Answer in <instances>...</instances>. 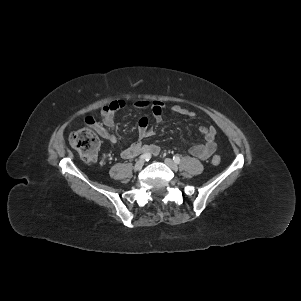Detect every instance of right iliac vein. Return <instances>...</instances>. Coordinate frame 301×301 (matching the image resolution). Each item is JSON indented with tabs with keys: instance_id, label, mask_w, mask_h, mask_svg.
I'll return each mask as SVG.
<instances>
[{
	"instance_id": "obj_1",
	"label": "right iliac vein",
	"mask_w": 301,
	"mask_h": 301,
	"mask_svg": "<svg viewBox=\"0 0 301 301\" xmlns=\"http://www.w3.org/2000/svg\"><path fill=\"white\" fill-rule=\"evenodd\" d=\"M143 165H144V160L141 159V160L137 161L135 166H134V170L135 171L141 170Z\"/></svg>"
}]
</instances>
